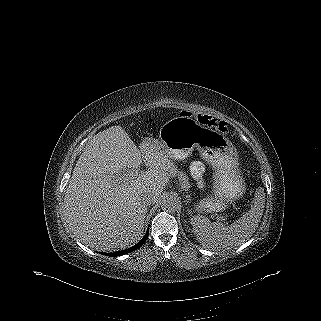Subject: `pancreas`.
I'll use <instances>...</instances> for the list:
<instances>
[{
    "mask_svg": "<svg viewBox=\"0 0 321 321\" xmlns=\"http://www.w3.org/2000/svg\"><path fill=\"white\" fill-rule=\"evenodd\" d=\"M175 174L178 175L181 186L187 188L189 186L188 177L180 172H176Z\"/></svg>",
    "mask_w": 321,
    "mask_h": 321,
    "instance_id": "obj_1",
    "label": "pancreas"
}]
</instances>
